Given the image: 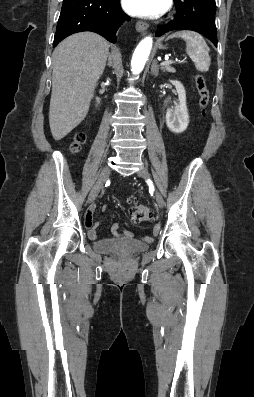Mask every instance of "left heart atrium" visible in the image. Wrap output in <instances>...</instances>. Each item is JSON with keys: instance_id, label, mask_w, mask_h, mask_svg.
<instances>
[{"instance_id": "1", "label": "left heart atrium", "mask_w": 254, "mask_h": 397, "mask_svg": "<svg viewBox=\"0 0 254 397\" xmlns=\"http://www.w3.org/2000/svg\"><path fill=\"white\" fill-rule=\"evenodd\" d=\"M122 6L131 15L157 17L167 10L169 0H122Z\"/></svg>"}]
</instances>
